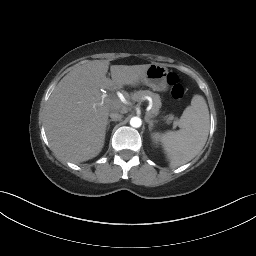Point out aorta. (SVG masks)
Masks as SVG:
<instances>
[{"instance_id":"aorta-1","label":"aorta","mask_w":256,"mask_h":256,"mask_svg":"<svg viewBox=\"0 0 256 256\" xmlns=\"http://www.w3.org/2000/svg\"><path fill=\"white\" fill-rule=\"evenodd\" d=\"M130 125L134 128H139L142 125V121L139 117H132L130 120Z\"/></svg>"}]
</instances>
